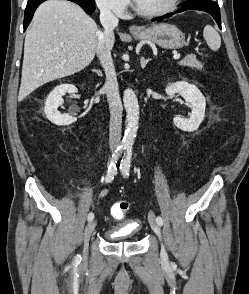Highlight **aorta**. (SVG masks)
<instances>
[{"mask_svg": "<svg viewBox=\"0 0 249 294\" xmlns=\"http://www.w3.org/2000/svg\"><path fill=\"white\" fill-rule=\"evenodd\" d=\"M123 102L126 110V130L123 138L125 147H132L137 135L139 122V105L135 92L127 88L123 93Z\"/></svg>", "mask_w": 249, "mask_h": 294, "instance_id": "obj_1", "label": "aorta"}]
</instances>
